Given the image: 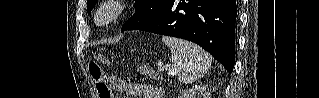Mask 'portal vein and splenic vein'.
Listing matches in <instances>:
<instances>
[{"label": "portal vein and splenic vein", "mask_w": 319, "mask_h": 98, "mask_svg": "<svg viewBox=\"0 0 319 98\" xmlns=\"http://www.w3.org/2000/svg\"><path fill=\"white\" fill-rule=\"evenodd\" d=\"M164 69L169 70V71L171 72V74H174V71L171 70V67H170V66H167V65H166V66H163V67H160V68H159V70H164Z\"/></svg>", "instance_id": "portal-vein-and-splenic-vein-1"}]
</instances>
